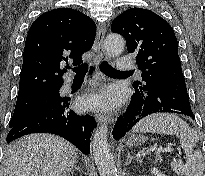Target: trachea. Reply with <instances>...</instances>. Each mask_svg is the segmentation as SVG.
I'll list each match as a JSON object with an SVG mask.
<instances>
[{"mask_svg": "<svg viewBox=\"0 0 205 176\" xmlns=\"http://www.w3.org/2000/svg\"><path fill=\"white\" fill-rule=\"evenodd\" d=\"M72 70L76 73L75 77H84L87 73V65L84 64L77 68H73ZM100 70L106 75L125 73V72L116 70L115 68H113L111 65H109L105 61L102 62V64L100 65Z\"/></svg>", "mask_w": 205, "mask_h": 176, "instance_id": "3493384b", "label": "trachea"}]
</instances>
